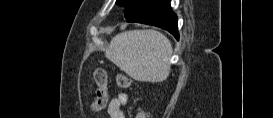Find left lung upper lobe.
Here are the masks:
<instances>
[{
    "mask_svg": "<svg viewBox=\"0 0 273 118\" xmlns=\"http://www.w3.org/2000/svg\"><path fill=\"white\" fill-rule=\"evenodd\" d=\"M169 0H117L116 4L126 8L127 22H139L161 10Z\"/></svg>",
    "mask_w": 273,
    "mask_h": 118,
    "instance_id": "obj_1",
    "label": "left lung upper lobe"
}]
</instances>
